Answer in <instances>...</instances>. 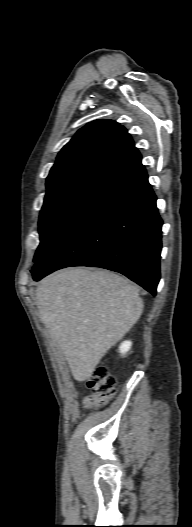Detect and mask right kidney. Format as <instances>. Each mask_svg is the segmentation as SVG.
<instances>
[{"instance_id":"ca27d5eb","label":"right kidney","mask_w":192,"mask_h":527,"mask_svg":"<svg viewBox=\"0 0 192 527\" xmlns=\"http://www.w3.org/2000/svg\"><path fill=\"white\" fill-rule=\"evenodd\" d=\"M131 342L130 341H124L121 346L119 347V351L121 354H125L128 352L131 348Z\"/></svg>"}]
</instances>
